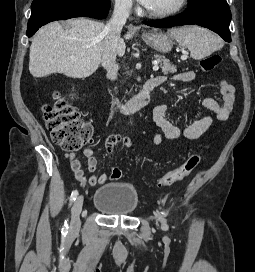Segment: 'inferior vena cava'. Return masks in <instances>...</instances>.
Wrapping results in <instances>:
<instances>
[{
	"instance_id": "inferior-vena-cava-1",
	"label": "inferior vena cava",
	"mask_w": 255,
	"mask_h": 272,
	"mask_svg": "<svg viewBox=\"0 0 255 272\" xmlns=\"http://www.w3.org/2000/svg\"><path fill=\"white\" fill-rule=\"evenodd\" d=\"M130 10L131 3L129 0H117L112 18L105 28L107 37L101 63L107 71V77L111 80L117 78L119 66L116 64V50L120 41L122 27L130 15Z\"/></svg>"
}]
</instances>
